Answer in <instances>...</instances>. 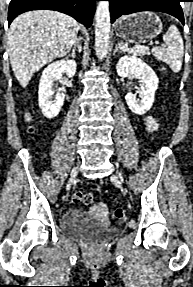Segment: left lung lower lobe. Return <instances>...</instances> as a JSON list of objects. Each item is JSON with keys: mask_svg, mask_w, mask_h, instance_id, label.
<instances>
[{"mask_svg": "<svg viewBox=\"0 0 193 287\" xmlns=\"http://www.w3.org/2000/svg\"><path fill=\"white\" fill-rule=\"evenodd\" d=\"M110 2L111 22L124 14L141 11H158L170 14L184 25L181 0H108Z\"/></svg>", "mask_w": 193, "mask_h": 287, "instance_id": "0a47b994", "label": "left lung lower lobe"}]
</instances>
